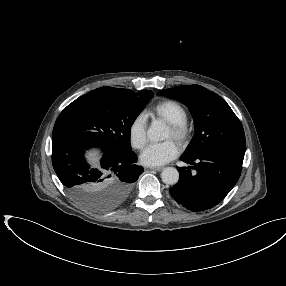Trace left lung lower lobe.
<instances>
[{
    "instance_id": "obj_1",
    "label": "left lung lower lobe",
    "mask_w": 286,
    "mask_h": 286,
    "mask_svg": "<svg viewBox=\"0 0 286 286\" xmlns=\"http://www.w3.org/2000/svg\"><path fill=\"white\" fill-rule=\"evenodd\" d=\"M244 154L228 150H211L196 156L181 157L193 165L177 167L180 179L169 189L171 196L191 211H203L220 203L237 183ZM191 169L196 174H191Z\"/></svg>"
}]
</instances>
